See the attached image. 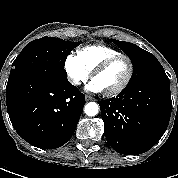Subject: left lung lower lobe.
Masks as SVG:
<instances>
[{"label":"left lung lower lobe","instance_id":"0a47b994","mask_svg":"<svg viewBox=\"0 0 178 178\" xmlns=\"http://www.w3.org/2000/svg\"><path fill=\"white\" fill-rule=\"evenodd\" d=\"M109 145L118 153L148 151L166 131L172 109L169 79L125 87L116 97L99 101Z\"/></svg>","mask_w":178,"mask_h":178}]
</instances>
